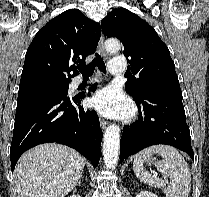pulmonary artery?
<instances>
[{"instance_id": "obj_1", "label": "pulmonary artery", "mask_w": 209, "mask_h": 197, "mask_svg": "<svg viewBox=\"0 0 209 197\" xmlns=\"http://www.w3.org/2000/svg\"><path fill=\"white\" fill-rule=\"evenodd\" d=\"M108 70L111 74H122L125 70L124 61L120 57L113 58L108 64ZM93 83V80H90Z\"/></svg>"}]
</instances>
